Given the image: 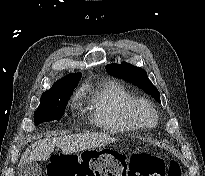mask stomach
<instances>
[{"mask_svg": "<svg viewBox=\"0 0 205 176\" xmlns=\"http://www.w3.org/2000/svg\"><path fill=\"white\" fill-rule=\"evenodd\" d=\"M93 151H96V152H99L97 149L95 148H91V149H88V150H85L84 152H93Z\"/></svg>", "mask_w": 205, "mask_h": 176, "instance_id": "1", "label": "stomach"}]
</instances>
